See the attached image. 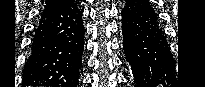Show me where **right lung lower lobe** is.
<instances>
[{
	"instance_id": "obj_1",
	"label": "right lung lower lobe",
	"mask_w": 205,
	"mask_h": 87,
	"mask_svg": "<svg viewBox=\"0 0 205 87\" xmlns=\"http://www.w3.org/2000/svg\"><path fill=\"white\" fill-rule=\"evenodd\" d=\"M84 26L75 0L45 8L32 39L23 69L22 86L77 87Z\"/></svg>"
}]
</instances>
